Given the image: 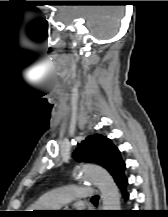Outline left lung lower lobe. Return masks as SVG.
Segmentation results:
<instances>
[{
	"mask_svg": "<svg viewBox=\"0 0 168 217\" xmlns=\"http://www.w3.org/2000/svg\"><path fill=\"white\" fill-rule=\"evenodd\" d=\"M125 170V167H124ZM118 187L121 190L122 196L124 197L125 200L128 199L129 194L126 191V186L128 184V179L126 178V176L123 174L120 176V178L116 181Z\"/></svg>",
	"mask_w": 168,
	"mask_h": 217,
	"instance_id": "left-lung-lower-lobe-1",
	"label": "left lung lower lobe"
}]
</instances>
